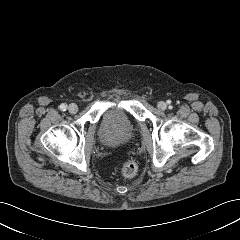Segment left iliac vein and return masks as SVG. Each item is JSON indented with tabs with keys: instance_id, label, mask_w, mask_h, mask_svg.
<instances>
[{
	"instance_id": "4c4485c4",
	"label": "left iliac vein",
	"mask_w": 240,
	"mask_h": 240,
	"mask_svg": "<svg viewBox=\"0 0 240 240\" xmlns=\"http://www.w3.org/2000/svg\"><path fill=\"white\" fill-rule=\"evenodd\" d=\"M157 106L160 110H165L167 108V104L163 101H160Z\"/></svg>"
}]
</instances>
